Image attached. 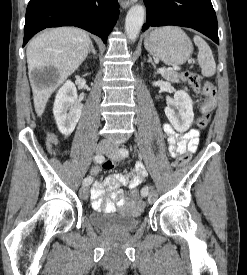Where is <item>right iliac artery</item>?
Here are the masks:
<instances>
[{"label": "right iliac artery", "mask_w": 247, "mask_h": 275, "mask_svg": "<svg viewBox=\"0 0 247 275\" xmlns=\"http://www.w3.org/2000/svg\"><path fill=\"white\" fill-rule=\"evenodd\" d=\"M104 160H105V158H104V156L101 155V154H97V155L95 156V161H96L97 163H99V164L103 163ZM92 181H93V178H92L91 176H87V177L83 180V185L88 186V185H90V184L92 183Z\"/></svg>", "instance_id": "obj_1"}]
</instances>
